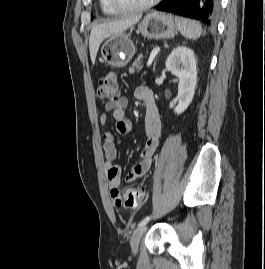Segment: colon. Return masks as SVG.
Returning <instances> with one entry per match:
<instances>
[{"label": "colon", "instance_id": "colon-1", "mask_svg": "<svg viewBox=\"0 0 265 269\" xmlns=\"http://www.w3.org/2000/svg\"><path fill=\"white\" fill-rule=\"evenodd\" d=\"M97 94L102 102H112L118 99V77L116 72H108L99 82ZM120 205L124 207H136L143 198V192L137 188H128L117 193Z\"/></svg>", "mask_w": 265, "mask_h": 269}]
</instances>
